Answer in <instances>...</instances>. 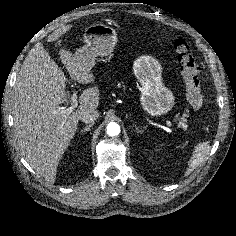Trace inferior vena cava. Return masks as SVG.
Instances as JSON below:
<instances>
[{
	"mask_svg": "<svg viewBox=\"0 0 236 236\" xmlns=\"http://www.w3.org/2000/svg\"><path fill=\"white\" fill-rule=\"evenodd\" d=\"M98 117L99 113L96 109H88L81 114L80 120L86 124H89L94 123V121H96Z\"/></svg>",
	"mask_w": 236,
	"mask_h": 236,
	"instance_id": "inferior-vena-cava-1",
	"label": "inferior vena cava"
}]
</instances>
